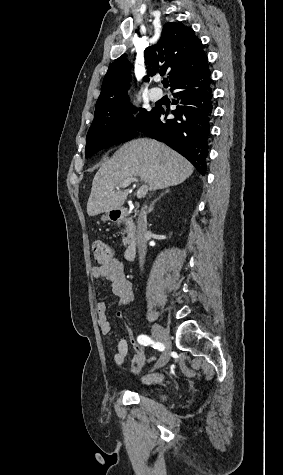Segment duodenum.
Returning <instances> with one entry per match:
<instances>
[{
  "label": "duodenum",
  "mask_w": 283,
  "mask_h": 475,
  "mask_svg": "<svg viewBox=\"0 0 283 475\" xmlns=\"http://www.w3.org/2000/svg\"><path fill=\"white\" fill-rule=\"evenodd\" d=\"M111 219L116 222H126L127 225L132 226L131 213L128 209L122 208L112 212ZM137 252V240L132 237L124 251V257L128 261H132Z\"/></svg>",
  "instance_id": "obj_1"
}]
</instances>
